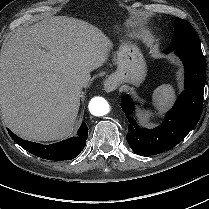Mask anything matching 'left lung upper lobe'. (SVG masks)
<instances>
[{
	"mask_svg": "<svg viewBox=\"0 0 209 209\" xmlns=\"http://www.w3.org/2000/svg\"><path fill=\"white\" fill-rule=\"evenodd\" d=\"M196 44H200V42L194 28L187 21L176 18L173 38L167 51Z\"/></svg>",
	"mask_w": 209,
	"mask_h": 209,
	"instance_id": "5c2ea615",
	"label": "left lung upper lobe"
}]
</instances>
